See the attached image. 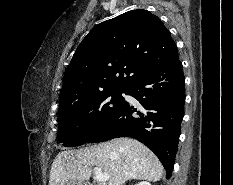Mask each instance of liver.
<instances>
[{
  "label": "liver",
  "mask_w": 233,
  "mask_h": 185,
  "mask_svg": "<svg viewBox=\"0 0 233 185\" xmlns=\"http://www.w3.org/2000/svg\"><path fill=\"white\" fill-rule=\"evenodd\" d=\"M91 166L109 175L107 185H123L131 179L156 182L164 172L159 159L144 144L132 138H117L59 152L52 164L49 185H65L70 180L88 181Z\"/></svg>",
  "instance_id": "1"
}]
</instances>
